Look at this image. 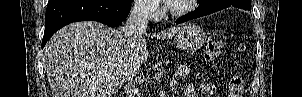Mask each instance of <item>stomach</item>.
<instances>
[{
  "label": "stomach",
  "instance_id": "stomach-1",
  "mask_svg": "<svg viewBox=\"0 0 302 97\" xmlns=\"http://www.w3.org/2000/svg\"><path fill=\"white\" fill-rule=\"evenodd\" d=\"M206 39L203 29L195 25H185L177 32L174 44L184 51L195 52L204 45Z\"/></svg>",
  "mask_w": 302,
  "mask_h": 97
}]
</instances>
